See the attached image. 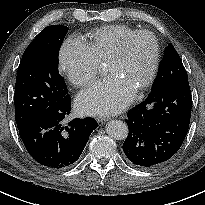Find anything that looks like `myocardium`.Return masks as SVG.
Returning a JSON list of instances; mask_svg holds the SVG:
<instances>
[{
	"instance_id": "1",
	"label": "myocardium",
	"mask_w": 205,
	"mask_h": 205,
	"mask_svg": "<svg viewBox=\"0 0 205 205\" xmlns=\"http://www.w3.org/2000/svg\"><path fill=\"white\" fill-rule=\"evenodd\" d=\"M140 36H148L151 38L153 42V47H154V54H153V60H152L151 69L149 71V74L146 80L143 82V84L136 90L137 94L143 92L144 90H146L148 87L151 86V84L153 83L156 77V74L159 68L161 50H160V43L156 35L148 30H137L129 34L128 36L124 38L118 50L112 55V57L107 62V63H115V62L122 60L127 54V50H128L130 43L135 38L140 37Z\"/></svg>"
}]
</instances>
